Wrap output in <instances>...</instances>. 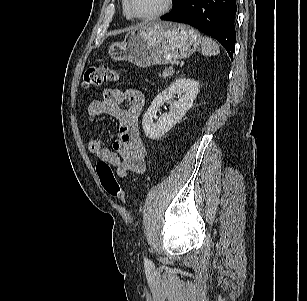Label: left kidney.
<instances>
[{
	"label": "left kidney",
	"instance_id": "left-kidney-1",
	"mask_svg": "<svg viewBox=\"0 0 307 301\" xmlns=\"http://www.w3.org/2000/svg\"><path fill=\"white\" fill-rule=\"evenodd\" d=\"M198 92L199 83L196 80L179 78L172 82L166 90L155 97L151 106L145 112L142 119L145 135L150 139H158L165 135L191 108ZM175 94H179L180 98L178 101L171 102L169 113L162 114L157 122H153V118L156 119V113L159 111L160 106Z\"/></svg>",
	"mask_w": 307,
	"mask_h": 301
}]
</instances>
